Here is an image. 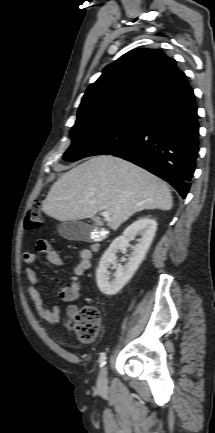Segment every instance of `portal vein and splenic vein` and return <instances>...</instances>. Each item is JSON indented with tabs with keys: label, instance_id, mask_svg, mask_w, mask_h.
I'll list each match as a JSON object with an SVG mask.
<instances>
[{
	"label": "portal vein and splenic vein",
	"instance_id": "18ae733b",
	"mask_svg": "<svg viewBox=\"0 0 215 433\" xmlns=\"http://www.w3.org/2000/svg\"><path fill=\"white\" fill-rule=\"evenodd\" d=\"M101 215H102L106 220L110 218V213L107 212V211L102 212Z\"/></svg>",
	"mask_w": 215,
	"mask_h": 433
}]
</instances>
